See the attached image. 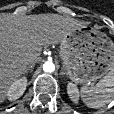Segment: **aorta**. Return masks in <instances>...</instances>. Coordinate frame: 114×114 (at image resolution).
<instances>
[{
  "mask_svg": "<svg viewBox=\"0 0 114 114\" xmlns=\"http://www.w3.org/2000/svg\"><path fill=\"white\" fill-rule=\"evenodd\" d=\"M44 72H53L55 70V65L53 62H45L43 64Z\"/></svg>",
  "mask_w": 114,
  "mask_h": 114,
  "instance_id": "762f6f07",
  "label": "aorta"
}]
</instances>
